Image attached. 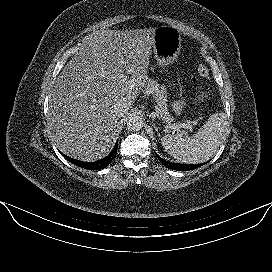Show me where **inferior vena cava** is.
<instances>
[{
    "instance_id": "obj_1",
    "label": "inferior vena cava",
    "mask_w": 272,
    "mask_h": 272,
    "mask_svg": "<svg viewBox=\"0 0 272 272\" xmlns=\"http://www.w3.org/2000/svg\"><path fill=\"white\" fill-rule=\"evenodd\" d=\"M129 110V105L123 101H117L113 106V112L117 117H122Z\"/></svg>"
}]
</instances>
